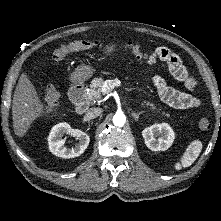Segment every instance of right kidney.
<instances>
[{
    "label": "right kidney",
    "mask_w": 221,
    "mask_h": 221,
    "mask_svg": "<svg viewBox=\"0 0 221 221\" xmlns=\"http://www.w3.org/2000/svg\"><path fill=\"white\" fill-rule=\"evenodd\" d=\"M63 134H70L75 137L79 143L74 148H67ZM89 136L78 129H72L68 123H59L52 127L48 136V145L50 151L62 158H74L80 156L89 145Z\"/></svg>",
    "instance_id": "obj_1"
}]
</instances>
